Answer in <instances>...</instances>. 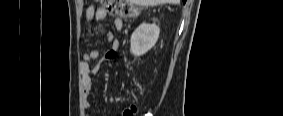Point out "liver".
<instances>
[{
  "mask_svg": "<svg viewBox=\"0 0 283 116\" xmlns=\"http://www.w3.org/2000/svg\"><path fill=\"white\" fill-rule=\"evenodd\" d=\"M134 3L144 6H155L158 4H179L180 0H133Z\"/></svg>",
  "mask_w": 283,
  "mask_h": 116,
  "instance_id": "liver-1",
  "label": "liver"
}]
</instances>
